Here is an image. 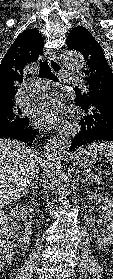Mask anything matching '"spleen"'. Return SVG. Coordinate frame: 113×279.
Listing matches in <instances>:
<instances>
[{
    "mask_svg": "<svg viewBox=\"0 0 113 279\" xmlns=\"http://www.w3.org/2000/svg\"><path fill=\"white\" fill-rule=\"evenodd\" d=\"M90 147H93L104 154L113 170V142H94Z\"/></svg>",
    "mask_w": 113,
    "mask_h": 279,
    "instance_id": "spleen-1",
    "label": "spleen"
}]
</instances>
